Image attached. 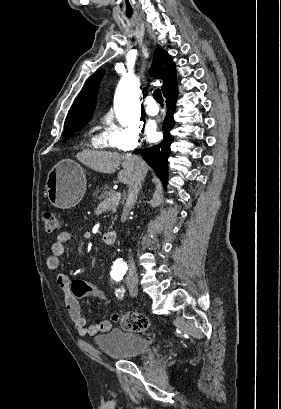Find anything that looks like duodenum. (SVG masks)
<instances>
[{"label":"duodenum","mask_w":281,"mask_h":409,"mask_svg":"<svg viewBox=\"0 0 281 409\" xmlns=\"http://www.w3.org/2000/svg\"><path fill=\"white\" fill-rule=\"evenodd\" d=\"M102 237H103L104 243H106V244H113V243H115V241H116L117 235H116L115 232L109 231V232L103 234Z\"/></svg>","instance_id":"410a0bca"}]
</instances>
